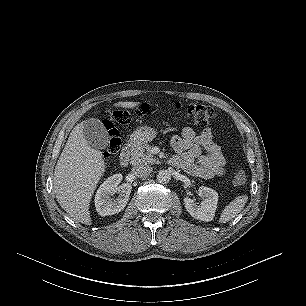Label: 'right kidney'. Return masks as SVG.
Wrapping results in <instances>:
<instances>
[{"mask_svg":"<svg viewBox=\"0 0 306 306\" xmlns=\"http://www.w3.org/2000/svg\"><path fill=\"white\" fill-rule=\"evenodd\" d=\"M121 180V174H114L98 188L95 195V207L99 215L108 216L119 213L127 205L132 186L129 183L119 185ZM116 192L119 193L118 197L112 199L111 196Z\"/></svg>","mask_w":306,"mask_h":306,"instance_id":"1","label":"right kidney"}]
</instances>
